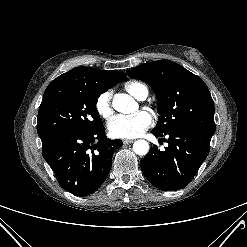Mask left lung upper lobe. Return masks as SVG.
<instances>
[{
	"instance_id": "1",
	"label": "left lung upper lobe",
	"mask_w": 247,
	"mask_h": 247,
	"mask_svg": "<svg viewBox=\"0 0 247 247\" xmlns=\"http://www.w3.org/2000/svg\"><path fill=\"white\" fill-rule=\"evenodd\" d=\"M127 74L146 82L155 92L160 117L154 132L190 128L214 134V103L200 77L170 60L142 64Z\"/></svg>"
}]
</instances>
